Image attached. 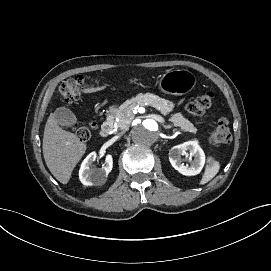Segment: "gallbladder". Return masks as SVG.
I'll return each instance as SVG.
<instances>
[{"mask_svg": "<svg viewBox=\"0 0 271 271\" xmlns=\"http://www.w3.org/2000/svg\"><path fill=\"white\" fill-rule=\"evenodd\" d=\"M54 120L61 126L70 127L76 123V116L65 107L57 108L53 113Z\"/></svg>", "mask_w": 271, "mask_h": 271, "instance_id": "1", "label": "gallbladder"}]
</instances>
